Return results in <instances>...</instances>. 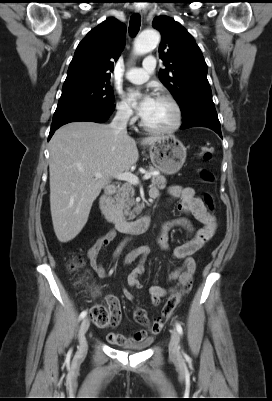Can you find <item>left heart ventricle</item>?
<instances>
[{"label": "left heart ventricle", "mask_w": 272, "mask_h": 401, "mask_svg": "<svg viewBox=\"0 0 272 401\" xmlns=\"http://www.w3.org/2000/svg\"><path fill=\"white\" fill-rule=\"evenodd\" d=\"M142 119L151 127H168L174 120V110L168 101L155 98L152 106Z\"/></svg>", "instance_id": "1"}]
</instances>
